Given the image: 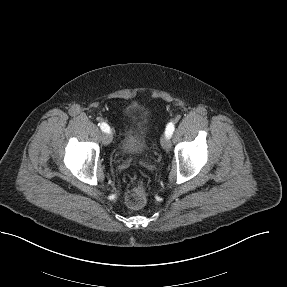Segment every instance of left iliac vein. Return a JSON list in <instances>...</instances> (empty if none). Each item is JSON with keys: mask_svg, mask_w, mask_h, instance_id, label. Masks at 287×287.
I'll return each instance as SVG.
<instances>
[{"mask_svg": "<svg viewBox=\"0 0 287 287\" xmlns=\"http://www.w3.org/2000/svg\"><path fill=\"white\" fill-rule=\"evenodd\" d=\"M161 146L166 151H169L171 149V141L166 135H163L161 137Z\"/></svg>", "mask_w": 287, "mask_h": 287, "instance_id": "4c4485c4", "label": "left iliac vein"}]
</instances>
